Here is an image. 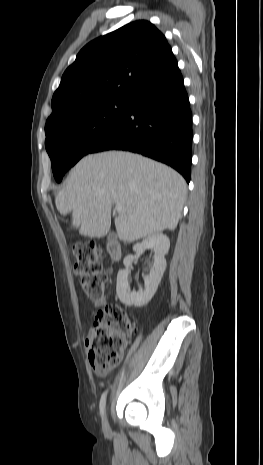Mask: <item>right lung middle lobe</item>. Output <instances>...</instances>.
<instances>
[{
    "instance_id": "obj_1",
    "label": "right lung middle lobe",
    "mask_w": 263,
    "mask_h": 465,
    "mask_svg": "<svg viewBox=\"0 0 263 465\" xmlns=\"http://www.w3.org/2000/svg\"><path fill=\"white\" fill-rule=\"evenodd\" d=\"M129 102L130 98L99 100L46 122L45 147L57 182L124 118Z\"/></svg>"
}]
</instances>
